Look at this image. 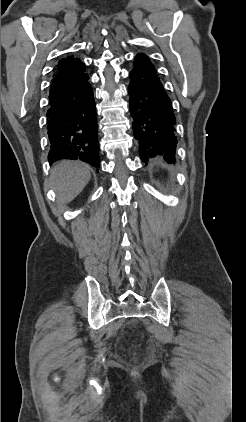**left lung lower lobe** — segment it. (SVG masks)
Returning a JSON list of instances; mask_svg holds the SVG:
<instances>
[{
    "instance_id": "obj_1",
    "label": "left lung lower lobe",
    "mask_w": 246,
    "mask_h": 422,
    "mask_svg": "<svg viewBox=\"0 0 246 422\" xmlns=\"http://www.w3.org/2000/svg\"><path fill=\"white\" fill-rule=\"evenodd\" d=\"M133 64L129 74V107L140 157L147 162L149 158L162 156L172 163L175 161L177 137L171 100L147 55L137 54Z\"/></svg>"
}]
</instances>
